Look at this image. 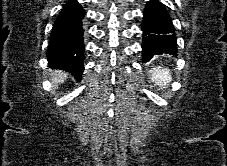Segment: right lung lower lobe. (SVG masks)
<instances>
[{
	"instance_id": "98d812e1",
	"label": "right lung lower lobe",
	"mask_w": 227,
	"mask_h": 166,
	"mask_svg": "<svg viewBox=\"0 0 227 166\" xmlns=\"http://www.w3.org/2000/svg\"><path fill=\"white\" fill-rule=\"evenodd\" d=\"M84 15V10L76 0H70L54 23L47 51L49 67L66 70L77 80L81 79L84 68Z\"/></svg>"
}]
</instances>
